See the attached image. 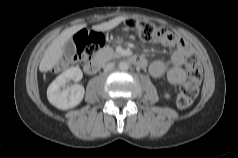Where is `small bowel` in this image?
<instances>
[{
  "label": "small bowel",
  "instance_id": "1",
  "mask_svg": "<svg viewBox=\"0 0 238 158\" xmlns=\"http://www.w3.org/2000/svg\"><path fill=\"white\" fill-rule=\"evenodd\" d=\"M161 43L166 47L173 48L170 63L168 67L163 60H156L149 66V73L154 78L166 77L174 84L181 85L186 80V72L183 68L185 59L193 52L191 46L180 36L172 34L170 38L164 39Z\"/></svg>",
  "mask_w": 238,
  "mask_h": 158
}]
</instances>
